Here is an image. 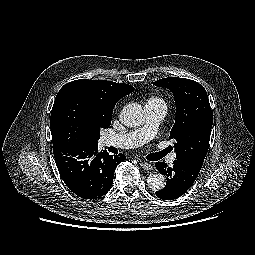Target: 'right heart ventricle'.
Returning a JSON list of instances; mask_svg holds the SVG:
<instances>
[{
	"label": "right heart ventricle",
	"mask_w": 255,
	"mask_h": 255,
	"mask_svg": "<svg viewBox=\"0 0 255 255\" xmlns=\"http://www.w3.org/2000/svg\"><path fill=\"white\" fill-rule=\"evenodd\" d=\"M146 103H155V104H164L165 101L161 97H151L147 100Z\"/></svg>",
	"instance_id": "right-heart-ventricle-1"
}]
</instances>
